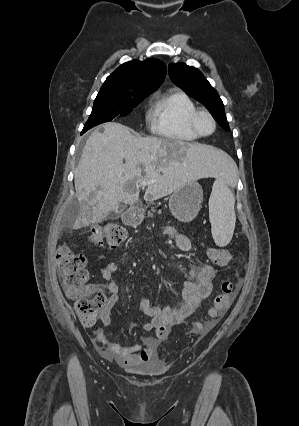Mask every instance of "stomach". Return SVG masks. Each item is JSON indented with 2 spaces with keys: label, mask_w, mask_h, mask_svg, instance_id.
<instances>
[{
  "label": "stomach",
  "mask_w": 299,
  "mask_h": 426,
  "mask_svg": "<svg viewBox=\"0 0 299 426\" xmlns=\"http://www.w3.org/2000/svg\"><path fill=\"white\" fill-rule=\"evenodd\" d=\"M203 202V190L194 182H187L176 189L169 199L172 215L181 222L192 221L199 213Z\"/></svg>",
  "instance_id": "0dacf381"
}]
</instances>
